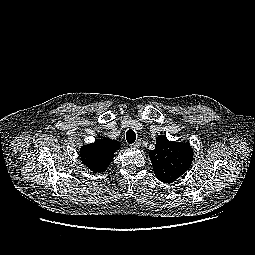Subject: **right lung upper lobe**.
<instances>
[{"label":"right lung upper lobe","mask_w":255,"mask_h":255,"mask_svg":"<svg viewBox=\"0 0 255 255\" xmlns=\"http://www.w3.org/2000/svg\"><path fill=\"white\" fill-rule=\"evenodd\" d=\"M120 148L116 140L102 138L81 147L82 163L95 173L104 172L111 163L114 153Z\"/></svg>","instance_id":"right-lung-upper-lobe-1"}]
</instances>
